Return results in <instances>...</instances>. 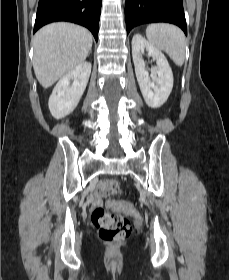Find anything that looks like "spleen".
<instances>
[{
  "label": "spleen",
  "mask_w": 229,
  "mask_h": 280,
  "mask_svg": "<svg viewBox=\"0 0 229 280\" xmlns=\"http://www.w3.org/2000/svg\"><path fill=\"white\" fill-rule=\"evenodd\" d=\"M149 43L165 51L177 66L185 60V35L180 28L168 23H153L146 29Z\"/></svg>",
  "instance_id": "3e777b00"
}]
</instances>
